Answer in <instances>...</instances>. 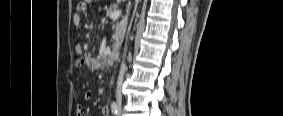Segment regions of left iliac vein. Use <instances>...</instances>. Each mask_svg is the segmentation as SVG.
Returning <instances> with one entry per match:
<instances>
[{
	"label": "left iliac vein",
	"mask_w": 283,
	"mask_h": 116,
	"mask_svg": "<svg viewBox=\"0 0 283 116\" xmlns=\"http://www.w3.org/2000/svg\"><path fill=\"white\" fill-rule=\"evenodd\" d=\"M119 116H121V108H119Z\"/></svg>",
	"instance_id": "4c4485c4"
}]
</instances>
